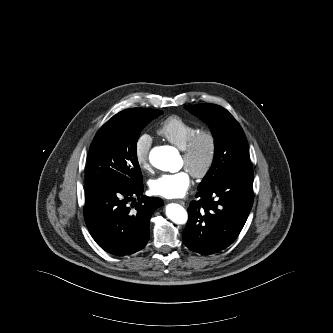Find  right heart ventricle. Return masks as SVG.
<instances>
[{
  "mask_svg": "<svg viewBox=\"0 0 333 333\" xmlns=\"http://www.w3.org/2000/svg\"><path fill=\"white\" fill-rule=\"evenodd\" d=\"M198 131L199 128L193 123H190L179 116L172 115L159 125L157 134L183 150L189 140Z\"/></svg>",
  "mask_w": 333,
  "mask_h": 333,
  "instance_id": "1",
  "label": "right heart ventricle"
}]
</instances>
